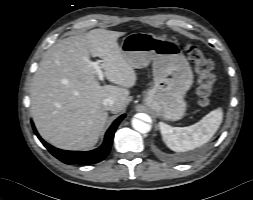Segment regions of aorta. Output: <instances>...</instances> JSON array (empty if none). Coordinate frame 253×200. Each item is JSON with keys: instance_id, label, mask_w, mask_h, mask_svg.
I'll use <instances>...</instances> for the list:
<instances>
[{"instance_id": "aorta-1", "label": "aorta", "mask_w": 253, "mask_h": 200, "mask_svg": "<svg viewBox=\"0 0 253 200\" xmlns=\"http://www.w3.org/2000/svg\"><path fill=\"white\" fill-rule=\"evenodd\" d=\"M132 126L136 131H138L140 133H143V134H145V133H147L151 130V125L150 124H148L146 122H143L139 119H133L132 120Z\"/></svg>"}]
</instances>
